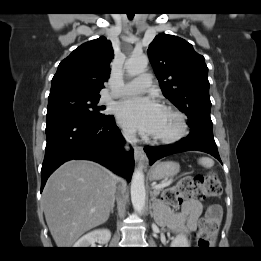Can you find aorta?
I'll list each match as a JSON object with an SVG mask.
<instances>
[{
	"instance_id": "obj_1",
	"label": "aorta",
	"mask_w": 261,
	"mask_h": 261,
	"mask_svg": "<svg viewBox=\"0 0 261 261\" xmlns=\"http://www.w3.org/2000/svg\"><path fill=\"white\" fill-rule=\"evenodd\" d=\"M148 65V58L144 55H132L125 63V68L130 76H136L145 71ZM145 183L144 173L136 169L131 181V201L135 211L141 213L145 206Z\"/></svg>"
}]
</instances>
